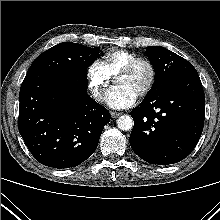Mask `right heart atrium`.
Returning <instances> with one entry per match:
<instances>
[{"label": "right heart atrium", "instance_id": "right-heart-atrium-1", "mask_svg": "<svg viewBox=\"0 0 220 220\" xmlns=\"http://www.w3.org/2000/svg\"><path fill=\"white\" fill-rule=\"evenodd\" d=\"M86 76L91 95L95 100L101 101L112 77L105 62L101 59L92 61L87 68Z\"/></svg>", "mask_w": 220, "mask_h": 220}]
</instances>
